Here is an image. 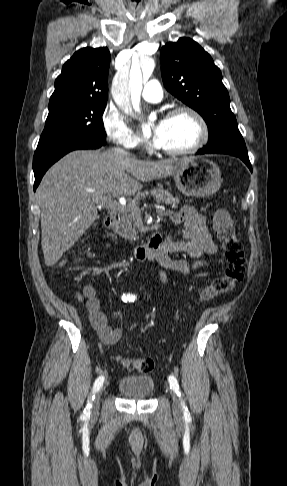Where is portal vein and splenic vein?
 I'll return each mask as SVG.
<instances>
[{"label":"portal vein and splenic vein","instance_id":"portal-vein-and-splenic-vein-1","mask_svg":"<svg viewBox=\"0 0 287 486\" xmlns=\"http://www.w3.org/2000/svg\"><path fill=\"white\" fill-rule=\"evenodd\" d=\"M96 202L108 209H119L122 202L112 199L111 195L107 194L97 199Z\"/></svg>","mask_w":287,"mask_h":486}]
</instances>
